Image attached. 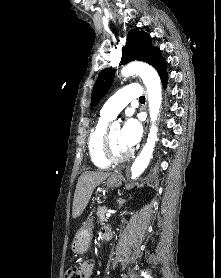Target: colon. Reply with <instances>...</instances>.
Here are the masks:
<instances>
[{
	"label": "colon",
	"mask_w": 221,
	"mask_h": 278,
	"mask_svg": "<svg viewBox=\"0 0 221 278\" xmlns=\"http://www.w3.org/2000/svg\"><path fill=\"white\" fill-rule=\"evenodd\" d=\"M84 273L80 267H69L65 272V278H84Z\"/></svg>",
	"instance_id": "obj_1"
}]
</instances>
